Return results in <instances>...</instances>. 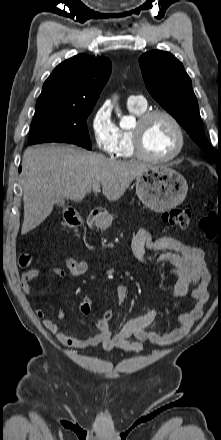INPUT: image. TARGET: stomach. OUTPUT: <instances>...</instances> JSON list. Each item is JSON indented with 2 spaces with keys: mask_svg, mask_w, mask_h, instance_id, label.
<instances>
[{
  "mask_svg": "<svg viewBox=\"0 0 221 440\" xmlns=\"http://www.w3.org/2000/svg\"><path fill=\"white\" fill-rule=\"evenodd\" d=\"M136 193L139 199L156 212H165L181 204L187 194L186 179L178 171L166 165H153L136 177ZM112 216L96 220L100 228L108 227Z\"/></svg>",
  "mask_w": 221,
  "mask_h": 440,
  "instance_id": "obj_1",
  "label": "stomach"
}]
</instances>
